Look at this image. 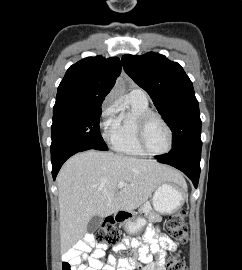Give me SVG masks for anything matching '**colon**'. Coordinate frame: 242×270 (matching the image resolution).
I'll use <instances>...</instances> for the list:
<instances>
[{
    "mask_svg": "<svg viewBox=\"0 0 242 270\" xmlns=\"http://www.w3.org/2000/svg\"><path fill=\"white\" fill-rule=\"evenodd\" d=\"M186 210L181 209L173 213L168 221V233L171 239L178 243H186L188 240V228L185 222ZM93 240L98 244L115 245L120 240V231L113 218H109L93 234ZM62 270H73L69 263L62 264ZM168 270H188L184 260L178 256L168 258Z\"/></svg>",
    "mask_w": 242,
    "mask_h": 270,
    "instance_id": "colon-1",
    "label": "colon"
}]
</instances>
